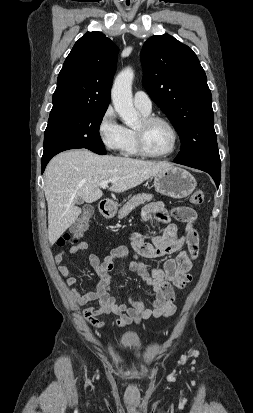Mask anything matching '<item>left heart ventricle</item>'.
Here are the masks:
<instances>
[{"mask_svg":"<svg viewBox=\"0 0 253 413\" xmlns=\"http://www.w3.org/2000/svg\"><path fill=\"white\" fill-rule=\"evenodd\" d=\"M140 121L135 128H141ZM147 148L153 153L167 152L173 143V135L167 125L161 122L153 123L144 130Z\"/></svg>","mask_w":253,"mask_h":413,"instance_id":"1","label":"left heart ventricle"}]
</instances>
